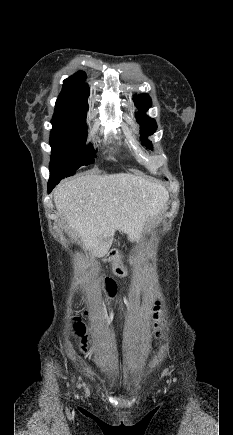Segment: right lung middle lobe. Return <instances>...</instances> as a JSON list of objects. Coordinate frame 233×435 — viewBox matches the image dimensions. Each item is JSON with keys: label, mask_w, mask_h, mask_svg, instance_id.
Returning <instances> with one entry per match:
<instances>
[{"label": "right lung middle lobe", "mask_w": 233, "mask_h": 435, "mask_svg": "<svg viewBox=\"0 0 233 435\" xmlns=\"http://www.w3.org/2000/svg\"><path fill=\"white\" fill-rule=\"evenodd\" d=\"M85 121L86 117H79L52 122L50 179L61 180L74 175L79 167L94 163L95 151L91 145H85L87 138Z\"/></svg>", "instance_id": "1"}]
</instances>
